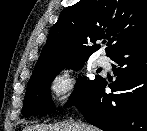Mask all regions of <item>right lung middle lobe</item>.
<instances>
[{
	"instance_id": "1",
	"label": "right lung middle lobe",
	"mask_w": 147,
	"mask_h": 131,
	"mask_svg": "<svg viewBox=\"0 0 147 131\" xmlns=\"http://www.w3.org/2000/svg\"><path fill=\"white\" fill-rule=\"evenodd\" d=\"M85 60L68 65L74 70L79 69ZM65 67V66H64ZM64 67H58L31 76L22 108V115L27 116L33 113H51L55 109L50 99V83L55 74H58ZM100 78L96 76L94 80H87L85 77L77 83L75 90L67 106L78 103L90 90L92 85Z\"/></svg>"
}]
</instances>
